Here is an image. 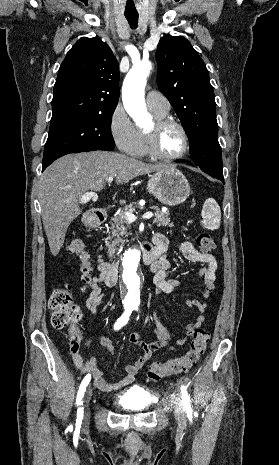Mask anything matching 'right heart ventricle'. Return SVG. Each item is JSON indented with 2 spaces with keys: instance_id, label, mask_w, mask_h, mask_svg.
Masks as SVG:
<instances>
[{
  "instance_id": "obj_1",
  "label": "right heart ventricle",
  "mask_w": 279,
  "mask_h": 465,
  "mask_svg": "<svg viewBox=\"0 0 279 465\" xmlns=\"http://www.w3.org/2000/svg\"><path fill=\"white\" fill-rule=\"evenodd\" d=\"M150 111L155 119L166 117L168 114V112L163 113V112H159L153 109H150ZM130 154L135 157H145L149 155V151L147 147L146 131L136 130L135 145Z\"/></svg>"
}]
</instances>
